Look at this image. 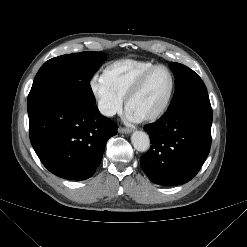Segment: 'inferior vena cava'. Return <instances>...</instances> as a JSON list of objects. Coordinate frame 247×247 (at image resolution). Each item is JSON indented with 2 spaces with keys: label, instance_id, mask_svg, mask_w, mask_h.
<instances>
[{
  "label": "inferior vena cava",
  "instance_id": "1",
  "mask_svg": "<svg viewBox=\"0 0 247 247\" xmlns=\"http://www.w3.org/2000/svg\"><path fill=\"white\" fill-rule=\"evenodd\" d=\"M99 111L101 112V114H103L104 116H113L115 115V110L110 107L109 105L105 104V103H99Z\"/></svg>",
  "mask_w": 247,
  "mask_h": 247
}]
</instances>
